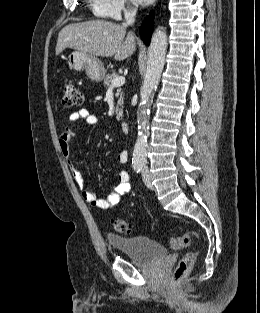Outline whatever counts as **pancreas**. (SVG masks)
I'll return each mask as SVG.
<instances>
[{"label":"pancreas","instance_id":"pancreas-1","mask_svg":"<svg viewBox=\"0 0 260 313\" xmlns=\"http://www.w3.org/2000/svg\"><path fill=\"white\" fill-rule=\"evenodd\" d=\"M116 77H118V74L115 71H113L110 74H107L104 77V86L106 87V89L111 88V83ZM116 97H119L117 104H116V111H115L116 119L121 120L122 114H123V97H122V93L120 89L117 90Z\"/></svg>","mask_w":260,"mask_h":313}]
</instances>
